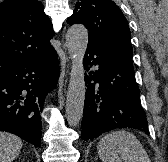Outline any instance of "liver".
Masks as SVG:
<instances>
[{
	"instance_id": "6515ba94",
	"label": "liver",
	"mask_w": 168,
	"mask_h": 162,
	"mask_svg": "<svg viewBox=\"0 0 168 162\" xmlns=\"http://www.w3.org/2000/svg\"><path fill=\"white\" fill-rule=\"evenodd\" d=\"M22 141L16 135L0 132V162H12L20 153Z\"/></svg>"
}]
</instances>
